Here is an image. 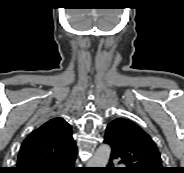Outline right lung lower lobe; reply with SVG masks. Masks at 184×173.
Listing matches in <instances>:
<instances>
[{
  "label": "right lung lower lobe",
  "mask_w": 184,
  "mask_h": 173,
  "mask_svg": "<svg viewBox=\"0 0 184 173\" xmlns=\"http://www.w3.org/2000/svg\"><path fill=\"white\" fill-rule=\"evenodd\" d=\"M76 155L77 153L49 166L22 173H81V170L74 167Z\"/></svg>",
  "instance_id": "1"
}]
</instances>
